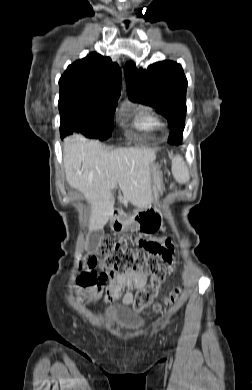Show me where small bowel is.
Listing matches in <instances>:
<instances>
[{
    "mask_svg": "<svg viewBox=\"0 0 252 390\" xmlns=\"http://www.w3.org/2000/svg\"><path fill=\"white\" fill-rule=\"evenodd\" d=\"M139 240L140 238H136L134 242L138 244ZM148 240L151 243L149 251L159 256L164 262L171 263L174 253V245L171 240L160 237ZM101 267L106 269L104 264ZM107 273L110 282L104 298L106 304L121 299L123 305H130L133 302V291L139 290L147 284L146 275L139 272L115 273L107 270ZM124 291L125 294H123Z\"/></svg>",
    "mask_w": 252,
    "mask_h": 390,
    "instance_id": "small-bowel-1",
    "label": "small bowel"
}]
</instances>
